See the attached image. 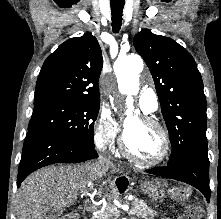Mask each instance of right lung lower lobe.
Segmentation results:
<instances>
[{
	"instance_id": "obj_1",
	"label": "right lung lower lobe",
	"mask_w": 221,
	"mask_h": 219,
	"mask_svg": "<svg viewBox=\"0 0 221 219\" xmlns=\"http://www.w3.org/2000/svg\"><path fill=\"white\" fill-rule=\"evenodd\" d=\"M97 157L94 147L78 144L41 129L28 130L18 170L17 187L30 173L41 167L54 163H79Z\"/></svg>"
}]
</instances>
